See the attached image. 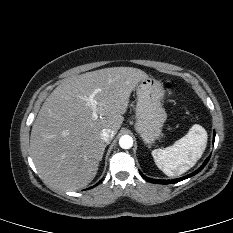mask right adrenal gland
Wrapping results in <instances>:
<instances>
[{
	"label": "right adrenal gland",
	"instance_id": "1",
	"mask_svg": "<svg viewBox=\"0 0 233 233\" xmlns=\"http://www.w3.org/2000/svg\"><path fill=\"white\" fill-rule=\"evenodd\" d=\"M109 143H106L105 144V147L108 145ZM102 157H103V153H102V155H101V159L100 160H102Z\"/></svg>",
	"mask_w": 233,
	"mask_h": 233
}]
</instances>
